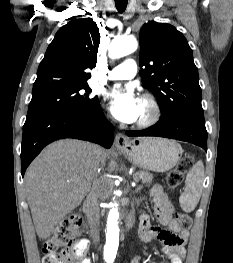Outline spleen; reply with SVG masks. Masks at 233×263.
Listing matches in <instances>:
<instances>
[{
    "label": "spleen",
    "mask_w": 233,
    "mask_h": 263,
    "mask_svg": "<svg viewBox=\"0 0 233 263\" xmlns=\"http://www.w3.org/2000/svg\"><path fill=\"white\" fill-rule=\"evenodd\" d=\"M204 180V165L199 160L188 172L184 192L180 195L179 203L185 212H192L197 206Z\"/></svg>",
    "instance_id": "obj_1"
}]
</instances>
